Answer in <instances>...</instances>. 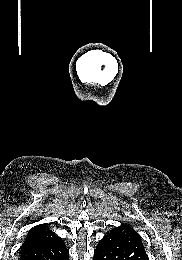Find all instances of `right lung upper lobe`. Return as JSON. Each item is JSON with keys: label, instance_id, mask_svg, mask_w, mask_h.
Masks as SVG:
<instances>
[{"label": "right lung upper lobe", "instance_id": "right-lung-upper-lobe-1", "mask_svg": "<svg viewBox=\"0 0 182 260\" xmlns=\"http://www.w3.org/2000/svg\"><path fill=\"white\" fill-rule=\"evenodd\" d=\"M60 240L62 239L51 233L44 225L35 226L29 230L21 251Z\"/></svg>", "mask_w": 182, "mask_h": 260}]
</instances>
